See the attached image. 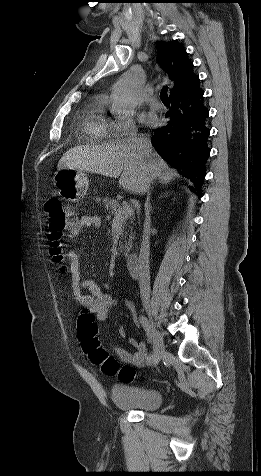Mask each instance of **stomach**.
Masks as SVG:
<instances>
[{
	"instance_id": "obj_1",
	"label": "stomach",
	"mask_w": 261,
	"mask_h": 476,
	"mask_svg": "<svg viewBox=\"0 0 261 476\" xmlns=\"http://www.w3.org/2000/svg\"><path fill=\"white\" fill-rule=\"evenodd\" d=\"M54 181L61 195L69 201H78L88 190V179L81 170L62 169L55 173Z\"/></svg>"
}]
</instances>
